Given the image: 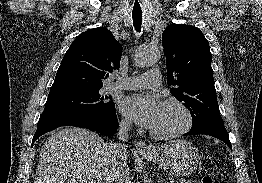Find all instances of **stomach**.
<instances>
[{
    "mask_svg": "<svg viewBox=\"0 0 262 183\" xmlns=\"http://www.w3.org/2000/svg\"><path fill=\"white\" fill-rule=\"evenodd\" d=\"M141 154L175 176H185L192 173L200 160L196 147L181 139L166 142L151 152H142Z\"/></svg>",
    "mask_w": 262,
    "mask_h": 183,
    "instance_id": "1",
    "label": "stomach"
}]
</instances>
